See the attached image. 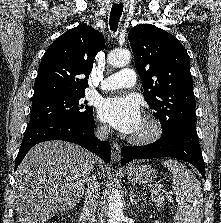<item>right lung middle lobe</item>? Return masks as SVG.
<instances>
[{
    "label": "right lung middle lobe",
    "instance_id": "obj_1",
    "mask_svg": "<svg viewBox=\"0 0 221 223\" xmlns=\"http://www.w3.org/2000/svg\"><path fill=\"white\" fill-rule=\"evenodd\" d=\"M85 93L58 96L32 102L28 126L52 119L83 122L93 117V109L85 106L82 98Z\"/></svg>",
    "mask_w": 221,
    "mask_h": 223
}]
</instances>
